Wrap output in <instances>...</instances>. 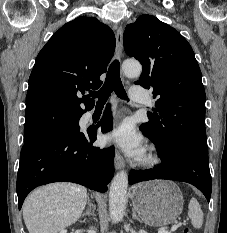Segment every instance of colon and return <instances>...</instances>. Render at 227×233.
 <instances>
[{"label": "colon", "instance_id": "5ec220e1", "mask_svg": "<svg viewBox=\"0 0 227 233\" xmlns=\"http://www.w3.org/2000/svg\"><path fill=\"white\" fill-rule=\"evenodd\" d=\"M183 233H193V231L191 229H185Z\"/></svg>", "mask_w": 227, "mask_h": 233}]
</instances>
